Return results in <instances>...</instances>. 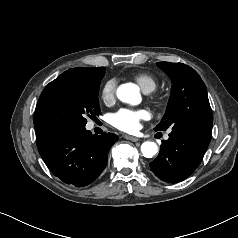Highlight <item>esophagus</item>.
Returning <instances> with one entry per match:
<instances>
[{
    "label": "esophagus",
    "mask_w": 238,
    "mask_h": 238,
    "mask_svg": "<svg viewBox=\"0 0 238 238\" xmlns=\"http://www.w3.org/2000/svg\"><path fill=\"white\" fill-rule=\"evenodd\" d=\"M124 138L127 139V140H130V141H133V142L139 141V138L133 137V136H129V135H125Z\"/></svg>",
    "instance_id": "34e87169"
}]
</instances>
